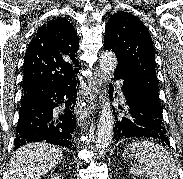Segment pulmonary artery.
I'll use <instances>...</instances> for the list:
<instances>
[{
	"label": "pulmonary artery",
	"mask_w": 183,
	"mask_h": 179,
	"mask_svg": "<svg viewBox=\"0 0 183 179\" xmlns=\"http://www.w3.org/2000/svg\"><path fill=\"white\" fill-rule=\"evenodd\" d=\"M120 97H121V100L122 101H125V97H124V94L120 91Z\"/></svg>",
	"instance_id": "pulmonary-artery-1"
}]
</instances>
